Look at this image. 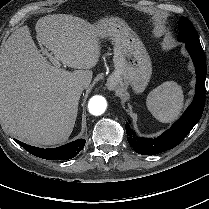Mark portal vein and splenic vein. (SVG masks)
I'll return each mask as SVG.
<instances>
[{
	"instance_id": "obj_1",
	"label": "portal vein and splenic vein",
	"mask_w": 209,
	"mask_h": 209,
	"mask_svg": "<svg viewBox=\"0 0 209 209\" xmlns=\"http://www.w3.org/2000/svg\"><path fill=\"white\" fill-rule=\"evenodd\" d=\"M46 53V51H45ZM46 56L50 59V61L52 62V64L57 67V68H60V63L59 61L57 60L58 58L56 56H52L51 54L49 53H46Z\"/></svg>"
}]
</instances>
